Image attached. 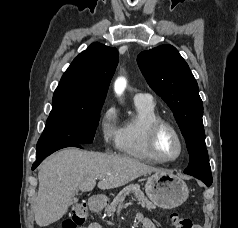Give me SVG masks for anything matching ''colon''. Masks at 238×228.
I'll use <instances>...</instances> for the list:
<instances>
[{
  "label": "colon",
  "instance_id": "1",
  "mask_svg": "<svg viewBox=\"0 0 238 228\" xmlns=\"http://www.w3.org/2000/svg\"><path fill=\"white\" fill-rule=\"evenodd\" d=\"M88 218V210L84 204H75L69 217L64 221L63 228H79ZM173 228H199L188 217H183L178 214H173L171 217Z\"/></svg>",
  "mask_w": 238,
  "mask_h": 228
}]
</instances>
